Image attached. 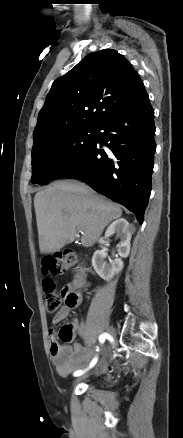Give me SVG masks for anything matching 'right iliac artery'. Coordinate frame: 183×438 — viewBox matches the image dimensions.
<instances>
[{
	"label": "right iliac artery",
	"instance_id": "1",
	"mask_svg": "<svg viewBox=\"0 0 183 438\" xmlns=\"http://www.w3.org/2000/svg\"><path fill=\"white\" fill-rule=\"evenodd\" d=\"M106 338H111V336H110L109 334H107V333H104V334H102V335L99 336V341H100L101 343H104V341H105ZM97 360H98V357H95V358L91 361V363L89 364V366H88L86 369L75 371L73 375H74V376H81L83 373H85V371H87V370H89L90 368H92V367L97 363Z\"/></svg>",
	"mask_w": 183,
	"mask_h": 438
}]
</instances>
